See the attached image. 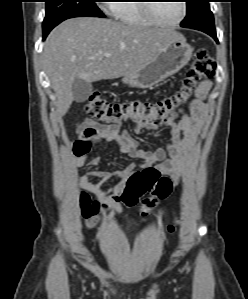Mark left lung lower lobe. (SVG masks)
<instances>
[{
    "label": "left lung lower lobe",
    "instance_id": "left-lung-lower-lobe-1",
    "mask_svg": "<svg viewBox=\"0 0 248 299\" xmlns=\"http://www.w3.org/2000/svg\"><path fill=\"white\" fill-rule=\"evenodd\" d=\"M203 32H205V33L209 34L210 36H212L215 39V41L218 43V39L216 37L215 29L205 28V29H203Z\"/></svg>",
    "mask_w": 248,
    "mask_h": 299
}]
</instances>
